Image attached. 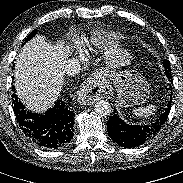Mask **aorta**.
Masks as SVG:
<instances>
[{"label": "aorta", "mask_w": 183, "mask_h": 183, "mask_svg": "<svg viewBox=\"0 0 183 183\" xmlns=\"http://www.w3.org/2000/svg\"><path fill=\"white\" fill-rule=\"evenodd\" d=\"M95 111L99 116H108L111 113L110 103L106 100L98 101L95 104Z\"/></svg>", "instance_id": "1"}]
</instances>
